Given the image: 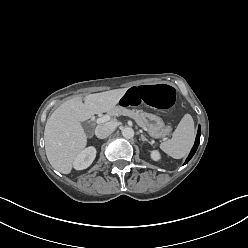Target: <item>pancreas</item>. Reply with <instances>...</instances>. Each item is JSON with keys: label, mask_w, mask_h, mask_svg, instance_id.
<instances>
[{"label": "pancreas", "mask_w": 248, "mask_h": 248, "mask_svg": "<svg viewBox=\"0 0 248 248\" xmlns=\"http://www.w3.org/2000/svg\"><path fill=\"white\" fill-rule=\"evenodd\" d=\"M108 114L111 116H119V115L129 116L130 118L134 119L139 126L146 127L142 114L136 110H130L117 106L111 109L108 112Z\"/></svg>", "instance_id": "obj_1"}]
</instances>
